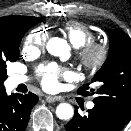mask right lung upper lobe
Here are the masks:
<instances>
[{"instance_id":"obj_1","label":"right lung upper lobe","mask_w":131,"mask_h":131,"mask_svg":"<svg viewBox=\"0 0 131 131\" xmlns=\"http://www.w3.org/2000/svg\"><path fill=\"white\" fill-rule=\"evenodd\" d=\"M25 16H5L0 18V47H4L8 44L10 35V29L19 22ZM5 89L3 84H0V91Z\"/></svg>"}]
</instances>
